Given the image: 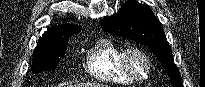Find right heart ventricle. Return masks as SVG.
Returning a JSON list of instances; mask_svg holds the SVG:
<instances>
[{"label":"right heart ventricle","instance_id":"e07e8e85","mask_svg":"<svg viewBox=\"0 0 205 87\" xmlns=\"http://www.w3.org/2000/svg\"><path fill=\"white\" fill-rule=\"evenodd\" d=\"M124 47L108 38L97 40L88 50L85 65L89 74L97 81L130 85L134 83L125 74L120 64V56Z\"/></svg>","mask_w":205,"mask_h":87}]
</instances>
